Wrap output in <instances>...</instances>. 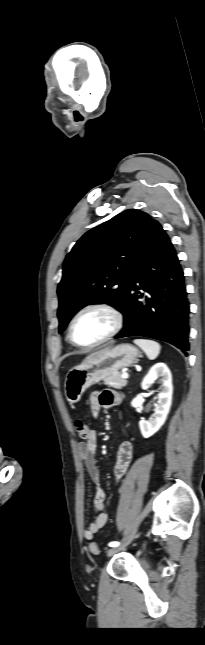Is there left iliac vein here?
Returning <instances> with one entry per match:
<instances>
[{
    "label": "left iliac vein",
    "instance_id": "obj_1",
    "mask_svg": "<svg viewBox=\"0 0 205 645\" xmlns=\"http://www.w3.org/2000/svg\"><path fill=\"white\" fill-rule=\"evenodd\" d=\"M136 533H137V528L132 530V532L126 537V539H125V541H124V543L122 545L117 546V547H113V548H110L109 550H107V552H106L107 556H111V555L119 552L123 548H125L127 545H129L131 543V541L134 539Z\"/></svg>",
    "mask_w": 205,
    "mask_h": 645
}]
</instances>
